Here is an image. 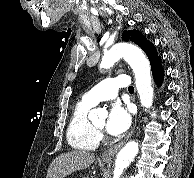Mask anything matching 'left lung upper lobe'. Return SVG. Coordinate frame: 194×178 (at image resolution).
<instances>
[{
  "label": "left lung upper lobe",
  "mask_w": 194,
  "mask_h": 178,
  "mask_svg": "<svg viewBox=\"0 0 194 178\" xmlns=\"http://www.w3.org/2000/svg\"><path fill=\"white\" fill-rule=\"evenodd\" d=\"M122 39L124 41H132L139 45L147 54L151 66L159 59L154 45L151 42L147 41L144 35L138 30H125L122 33Z\"/></svg>",
  "instance_id": "5c2ea615"
}]
</instances>
